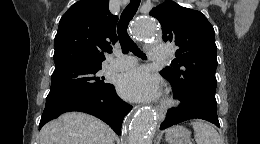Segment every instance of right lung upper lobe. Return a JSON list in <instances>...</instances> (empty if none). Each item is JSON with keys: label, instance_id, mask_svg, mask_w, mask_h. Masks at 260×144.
Masks as SVG:
<instances>
[{"label": "right lung upper lobe", "instance_id": "obj_1", "mask_svg": "<svg viewBox=\"0 0 260 144\" xmlns=\"http://www.w3.org/2000/svg\"><path fill=\"white\" fill-rule=\"evenodd\" d=\"M109 0L78 1L62 16L55 36V69L68 65H101L104 52L117 42L118 17Z\"/></svg>", "mask_w": 260, "mask_h": 144}]
</instances>
